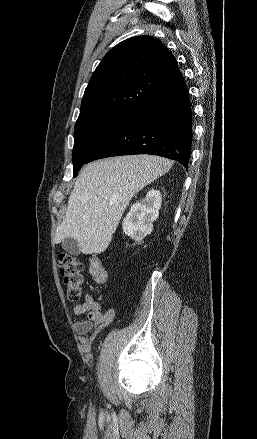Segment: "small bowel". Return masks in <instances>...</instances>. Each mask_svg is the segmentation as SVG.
Returning <instances> with one entry per match:
<instances>
[{
    "instance_id": "1",
    "label": "small bowel",
    "mask_w": 257,
    "mask_h": 439,
    "mask_svg": "<svg viewBox=\"0 0 257 439\" xmlns=\"http://www.w3.org/2000/svg\"><path fill=\"white\" fill-rule=\"evenodd\" d=\"M74 313L77 316L87 314V319L75 323V331L80 336L79 340L86 351H89L94 342V335L91 332L101 324H107L114 318V313L108 311L101 312L100 304L91 296H86L84 302L74 308Z\"/></svg>"
}]
</instances>
